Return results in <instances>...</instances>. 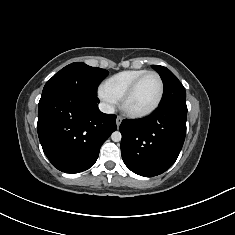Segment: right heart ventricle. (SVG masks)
I'll return each instance as SVG.
<instances>
[{
	"instance_id": "1",
	"label": "right heart ventricle",
	"mask_w": 235,
	"mask_h": 235,
	"mask_svg": "<svg viewBox=\"0 0 235 235\" xmlns=\"http://www.w3.org/2000/svg\"><path fill=\"white\" fill-rule=\"evenodd\" d=\"M147 71L145 69L124 70L106 79L102 86L117 100H121L131 83Z\"/></svg>"
}]
</instances>
